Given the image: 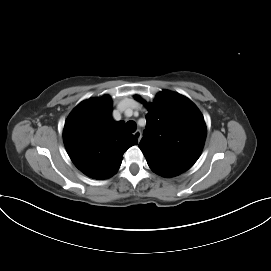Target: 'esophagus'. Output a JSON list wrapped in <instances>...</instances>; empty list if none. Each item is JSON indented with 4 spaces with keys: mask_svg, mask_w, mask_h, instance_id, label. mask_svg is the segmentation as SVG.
I'll return each instance as SVG.
<instances>
[{
    "mask_svg": "<svg viewBox=\"0 0 271 271\" xmlns=\"http://www.w3.org/2000/svg\"><path fill=\"white\" fill-rule=\"evenodd\" d=\"M134 136L136 137V139H137L138 141H140V139H141V131H140V130H136V131L134 132Z\"/></svg>",
    "mask_w": 271,
    "mask_h": 271,
    "instance_id": "1",
    "label": "esophagus"
}]
</instances>
